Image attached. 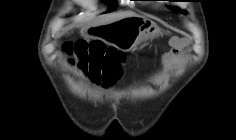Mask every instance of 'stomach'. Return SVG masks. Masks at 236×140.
Masks as SVG:
<instances>
[{"label": "stomach", "instance_id": "obj_1", "mask_svg": "<svg viewBox=\"0 0 236 140\" xmlns=\"http://www.w3.org/2000/svg\"><path fill=\"white\" fill-rule=\"evenodd\" d=\"M91 30H111L89 31L90 41L114 44L125 51L160 34V28L156 23L137 15L124 17L117 22H100V25H91Z\"/></svg>", "mask_w": 236, "mask_h": 140}]
</instances>
